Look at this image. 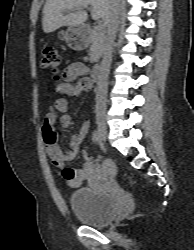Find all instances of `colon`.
Masks as SVG:
<instances>
[{"mask_svg":"<svg viewBox=\"0 0 194 250\" xmlns=\"http://www.w3.org/2000/svg\"><path fill=\"white\" fill-rule=\"evenodd\" d=\"M40 65L43 69L52 70L55 73L54 81L58 87L63 84V76L60 72H58V69L61 65V57L55 47L47 46L43 49Z\"/></svg>","mask_w":194,"mask_h":250,"instance_id":"1","label":"colon"}]
</instances>
